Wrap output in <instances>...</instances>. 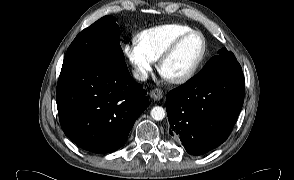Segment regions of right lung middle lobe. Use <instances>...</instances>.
Instances as JSON below:
<instances>
[{"mask_svg":"<svg viewBox=\"0 0 294 180\" xmlns=\"http://www.w3.org/2000/svg\"><path fill=\"white\" fill-rule=\"evenodd\" d=\"M120 29L112 16H104L81 31L69 46L62 68L91 58H119L124 54L119 43Z\"/></svg>","mask_w":294,"mask_h":180,"instance_id":"obj_1","label":"right lung middle lobe"}]
</instances>
